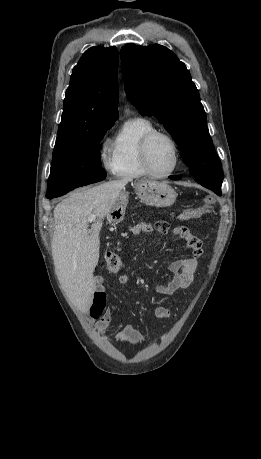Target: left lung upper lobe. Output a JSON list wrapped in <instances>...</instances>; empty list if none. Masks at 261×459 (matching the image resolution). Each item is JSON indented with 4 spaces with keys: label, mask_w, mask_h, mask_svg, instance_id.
I'll list each match as a JSON object with an SVG mask.
<instances>
[{
    "label": "left lung upper lobe",
    "mask_w": 261,
    "mask_h": 459,
    "mask_svg": "<svg viewBox=\"0 0 261 459\" xmlns=\"http://www.w3.org/2000/svg\"><path fill=\"white\" fill-rule=\"evenodd\" d=\"M120 56L125 91L133 105L164 125L195 179L222 180L199 92L185 64L158 44H127Z\"/></svg>",
    "instance_id": "obj_1"
}]
</instances>
